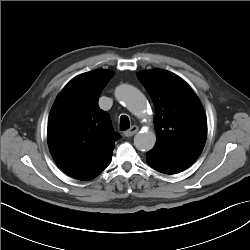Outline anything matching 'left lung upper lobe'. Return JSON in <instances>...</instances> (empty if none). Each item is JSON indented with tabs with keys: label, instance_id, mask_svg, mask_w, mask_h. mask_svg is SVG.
I'll use <instances>...</instances> for the list:
<instances>
[{
	"label": "left lung upper lobe",
	"instance_id": "obj_1",
	"mask_svg": "<svg viewBox=\"0 0 250 250\" xmlns=\"http://www.w3.org/2000/svg\"><path fill=\"white\" fill-rule=\"evenodd\" d=\"M156 110V144L152 150L198 157L207 137V120L191 87L177 75L155 69L137 74Z\"/></svg>",
	"mask_w": 250,
	"mask_h": 250
}]
</instances>
